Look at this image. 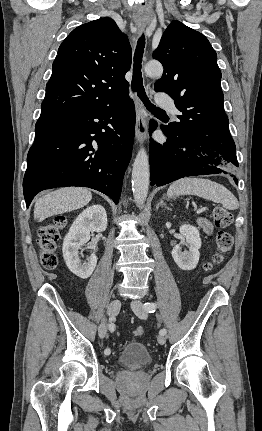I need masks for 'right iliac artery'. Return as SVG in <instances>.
I'll return each instance as SVG.
<instances>
[{
  "label": "right iliac artery",
  "instance_id": "82829eb1",
  "mask_svg": "<svg viewBox=\"0 0 262 431\" xmlns=\"http://www.w3.org/2000/svg\"><path fill=\"white\" fill-rule=\"evenodd\" d=\"M109 328H110V330H112V324H109ZM104 353L109 355L111 353V350L109 348H106Z\"/></svg>",
  "mask_w": 262,
  "mask_h": 431
}]
</instances>
